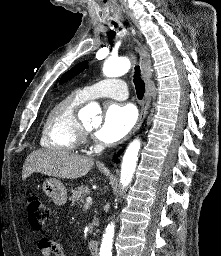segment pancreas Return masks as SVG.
<instances>
[{
  "mask_svg": "<svg viewBox=\"0 0 221 256\" xmlns=\"http://www.w3.org/2000/svg\"><path fill=\"white\" fill-rule=\"evenodd\" d=\"M72 196L69 198L72 205H75L76 203L78 205H81V203L84 201V198L90 194V190L88 187L81 185L77 189H74L71 191ZM95 224H98V221L95 220Z\"/></svg>",
  "mask_w": 221,
  "mask_h": 256,
  "instance_id": "cf45deb5",
  "label": "pancreas"
}]
</instances>
